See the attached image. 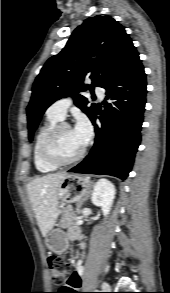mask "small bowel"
I'll return each instance as SVG.
<instances>
[{"mask_svg": "<svg viewBox=\"0 0 170 293\" xmlns=\"http://www.w3.org/2000/svg\"><path fill=\"white\" fill-rule=\"evenodd\" d=\"M69 237L71 240H78L80 242V246H81L82 250L85 248V242L83 240V237H82L80 231H78V230L70 231ZM83 257H84V253L82 252L81 258H83ZM83 272H84L83 264L79 263L76 267L75 276L72 280L73 287H75V288L81 287V279L83 276Z\"/></svg>", "mask_w": 170, "mask_h": 293, "instance_id": "c3829d8e", "label": "small bowel"}]
</instances>
